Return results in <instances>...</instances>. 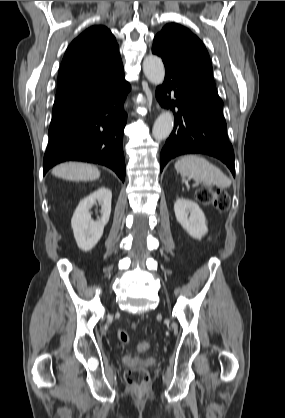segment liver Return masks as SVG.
<instances>
[{"mask_svg": "<svg viewBox=\"0 0 285 418\" xmlns=\"http://www.w3.org/2000/svg\"><path fill=\"white\" fill-rule=\"evenodd\" d=\"M52 174L58 178L71 181H93L100 177L97 167L76 162L60 164L53 168Z\"/></svg>", "mask_w": 285, "mask_h": 418, "instance_id": "1", "label": "liver"}]
</instances>
